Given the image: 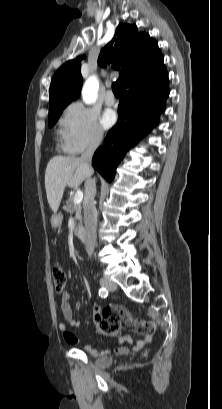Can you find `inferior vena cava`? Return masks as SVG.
<instances>
[{
	"mask_svg": "<svg viewBox=\"0 0 222 409\" xmlns=\"http://www.w3.org/2000/svg\"><path fill=\"white\" fill-rule=\"evenodd\" d=\"M101 140L102 134L99 133L92 139L85 152L79 158L88 170V176L85 181L84 224L86 250L90 257L95 247L97 227V210L95 207L96 183L95 180L91 178L93 175L91 160Z\"/></svg>",
	"mask_w": 222,
	"mask_h": 409,
	"instance_id": "1",
	"label": "inferior vena cava"
}]
</instances>
